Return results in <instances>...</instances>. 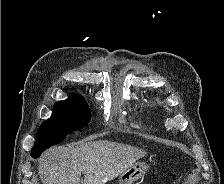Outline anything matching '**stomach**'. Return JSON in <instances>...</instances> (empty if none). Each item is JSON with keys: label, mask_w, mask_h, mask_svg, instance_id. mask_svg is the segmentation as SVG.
<instances>
[{"label": "stomach", "mask_w": 224, "mask_h": 184, "mask_svg": "<svg viewBox=\"0 0 224 184\" xmlns=\"http://www.w3.org/2000/svg\"><path fill=\"white\" fill-rule=\"evenodd\" d=\"M148 165L144 162H137L127 168L123 173L119 175V184H133L141 179L148 171Z\"/></svg>", "instance_id": "stomach-1"}]
</instances>
